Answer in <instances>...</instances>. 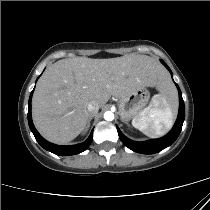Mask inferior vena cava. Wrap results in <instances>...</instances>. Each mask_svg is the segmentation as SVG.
Masks as SVG:
<instances>
[{
    "label": "inferior vena cava",
    "mask_w": 210,
    "mask_h": 210,
    "mask_svg": "<svg viewBox=\"0 0 210 210\" xmlns=\"http://www.w3.org/2000/svg\"><path fill=\"white\" fill-rule=\"evenodd\" d=\"M87 110L89 112V115H94L98 112L99 105L96 102L92 101L87 105Z\"/></svg>",
    "instance_id": "602c4592"
}]
</instances>
